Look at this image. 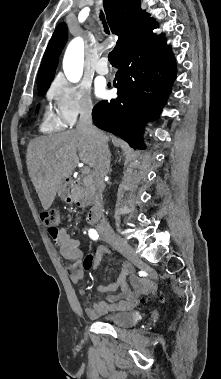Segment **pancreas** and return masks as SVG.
I'll return each instance as SVG.
<instances>
[{
  "instance_id": "cf45deb5",
  "label": "pancreas",
  "mask_w": 221,
  "mask_h": 379,
  "mask_svg": "<svg viewBox=\"0 0 221 379\" xmlns=\"http://www.w3.org/2000/svg\"><path fill=\"white\" fill-rule=\"evenodd\" d=\"M75 194L80 198L93 200L95 188L91 176L85 177L82 182L78 181Z\"/></svg>"
}]
</instances>
